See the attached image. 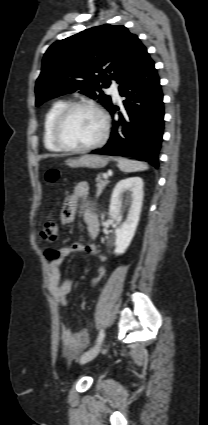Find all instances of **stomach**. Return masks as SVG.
<instances>
[{"label": "stomach", "mask_w": 208, "mask_h": 425, "mask_svg": "<svg viewBox=\"0 0 208 425\" xmlns=\"http://www.w3.org/2000/svg\"><path fill=\"white\" fill-rule=\"evenodd\" d=\"M109 159L98 155H82L78 158L68 159L66 165L72 168L85 167L91 169H97L105 167Z\"/></svg>", "instance_id": "1"}]
</instances>
